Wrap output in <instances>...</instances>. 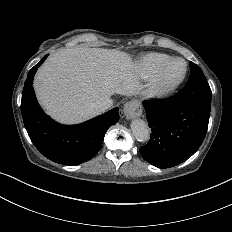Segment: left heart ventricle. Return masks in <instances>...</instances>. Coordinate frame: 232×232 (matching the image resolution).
<instances>
[{
    "mask_svg": "<svg viewBox=\"0 0 232 232\" xmlns=\"http://www.w3.org/2000/svg\"><path fill=\"white\" fill-rule=\"evenodd\" d=\"M185 70V64L183 62L175 63L166 75V80H173L179 78Z\"/></svg>",
    "mask_w": 232,
    "mask_h": 232,
    "instance_id": "obj_1",
    "label": "left heart ventricle"
}]
</instances>
